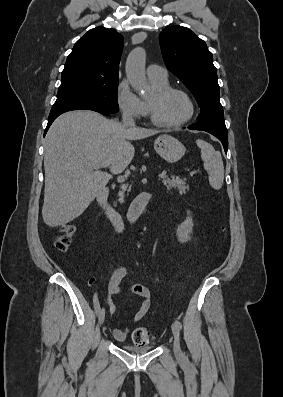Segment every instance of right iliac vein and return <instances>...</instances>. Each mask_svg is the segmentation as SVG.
<instances>
[{
  "label": "right iliac vein",
  "instance_id": "right-iliac-vein-1",
  "mask_svg": "<svg viewBox=\"0 0 283 397\" xmlns=\"http://www.w3.org/2000/svg\"><path fill=\"white\" fill-rule=\"evenodd\" d=\"M105 319V310L102 309L100 314H99V324L102 325Z\"/></svg>",
  "mask_w": 283,
  "mask_h": 397
}]
</instances>
